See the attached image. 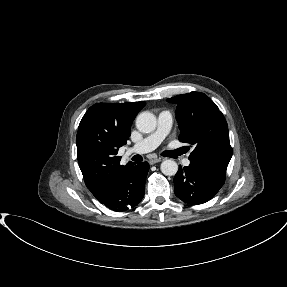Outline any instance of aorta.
I'll return each mask as SVG.
<instances>
[{
    "instance_id": "762f6f07",
    "label": "aorta",
    "mask_w": 287,
    "mask_h": 287,
    "mask_svg": "<svg viewBox=\"0 0 287 287\" xmlns=\"http://www.w3.org/2000/svg\"><path fill=\"white\" fill-rule=\"evenodd\" d=\"M157 119L150 112H142L136 118V127L142 133H151L156 129ZM161 172L166 176H173L178 171L177 163L172 159L164 160L160 166Z\"/></svg>"
}]
</instances>
